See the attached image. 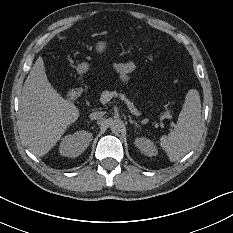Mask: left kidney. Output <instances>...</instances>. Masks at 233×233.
Returning a JSON list of instances; mask_svg holds the SVG:
<instances>
[{
    "instance_id": "left-kidney-1",
    "label": "left kidney",
    "mask_w": 233,
    "mask_h": 233,
    "mask_svg": "<svg viewBox=\"0 0 233 233\" xmlns=\"http://www.w3.org/2000/svg\"><path fill=\"white\" fill-rule=\"evenodd\" d=\"M134 146L148 157H155L159 154L158 146L148 137L138 136L133 140Z\"/></svg>"
}]
</instances>
